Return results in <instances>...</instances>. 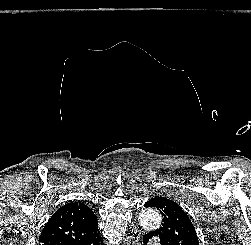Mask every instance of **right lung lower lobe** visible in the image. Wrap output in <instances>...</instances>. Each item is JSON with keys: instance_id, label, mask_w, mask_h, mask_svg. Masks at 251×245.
<instances>
[{"instance_id": "1", "label": "right lung lower lobe", "mask_w": 251, "mask_h": 245, "mask_svg": "<svg viewBox=\"0 0 251 245\" xmlns=\"http://www.w3.org/2000/svg\"><path fill=\"white\" fill-rule=\"evenodd\" d=\"M73 245H104L101 236L94 238L93 240L84 241L81 243H75Z\"/></svg>"}]
</instances>
